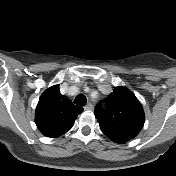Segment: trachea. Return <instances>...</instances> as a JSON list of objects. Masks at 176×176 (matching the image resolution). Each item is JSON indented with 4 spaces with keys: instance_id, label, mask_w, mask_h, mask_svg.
Returning a JSON list of instances; mask_svg holds the SVG:
<instances>
[{
    "instance_id": "obj_1",
    "label": "trachea",
    "mask_w": 176,
    "mask_h": 176,
    "mask_svg": "<svg viewBox=\"0 0 176 176\" xmlns=\"http://www.w3.org/2000/svg\"><path fill=\"white\" fill-rule=\"evenodd\" d=\"M74 103L77 105H86L87 103L86 96L83 94L76 96V98L74 99Z\"/></svg>"
}]
</instances>
